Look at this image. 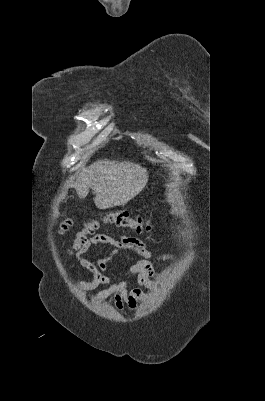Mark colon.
<instances>
[{
    "label": "colon",
    "instance_id": "1",
    "mask_svg": "<svg viewBox=\"0 0 265 401\" xmlns=\"http://www.w3.org/2000/svg\"><path fill=\"white\" fill-rule=\"evenodd\" d=\"M103 224H113L119 227L130 228L137 233H142L151 229L150 222L147 219L141 217L133 218L127 211H112L107 213L101 219L85 223L82 231L77 234L72 249L77 252L83 249L89 239L88 236L94 234ZM71 225L72 219H64L59 224L58 232L60 234L65 233Z\"/></svg>",
    "mask_w": 265,
    "mask_h": 401
}]
</instances>
